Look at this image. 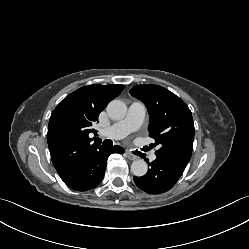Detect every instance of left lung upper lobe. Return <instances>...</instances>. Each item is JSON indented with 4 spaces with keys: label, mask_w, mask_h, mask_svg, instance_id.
<instances>
[{
    "label": "left lung upper lobe",
    "mask_w": 249,
    "mask_h": 249,
    "mask_svg": "<svg viewBox=\"0 0 249 249\" xmlns=\"http://www.w3.org/2000/svg\"><path fill=\"white\" fill-rule=\"evenodd\" d=\"M132 96L145 103L149 136L158 146L156 156L187 166L193 148L194 123L188 106L169 90L153 84L132 87Z\"/></svg>",
    "instance_id": "1"
}]
</instances>
